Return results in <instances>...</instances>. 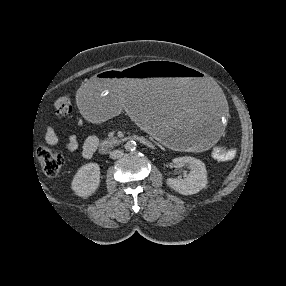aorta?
<instances>
[{
  "instance_id": "1",
  "label": "aorta",
  "mask_w": 286,
  "mask_h": 286,
  "mask_svg": "<svg viewBox=\"0 0 286 286\" xmlns=\"http://www.w3.org/2000/svg\"><path fill=\"white\" fill-rule=\"evenodd\" d=\"M125 149H126L127 151H133V150H135V149H136V142L133 141V140L127 141V142L125 143Z\"/></svg>"
}]
</instances>
